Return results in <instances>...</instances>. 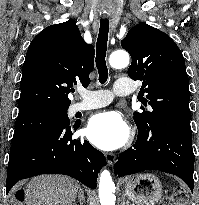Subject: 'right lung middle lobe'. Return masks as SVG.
<instances>
[{
  "mask_svg": "<svg viewBox=\"0 0 199 205\" xmlns=\"http://www.w3.org/2000/svg\"><path fill=\"white\" fill-rule=\"evenodd\" d=\"M67 109L68 107L44 109L18 115L12 144L20 142L42 130L61 128L70 124Z\"/></svg>",
  "mask_w": 199,
  "mask_h": 205,
  "instance_id": "1",
  "label": "right lung middle lobe"
}]
</instances>
